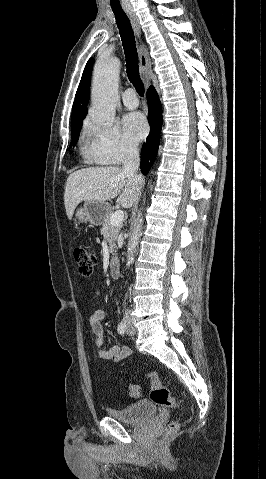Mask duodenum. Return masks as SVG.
<instances>
[{
    "mask_svg": "<svg viewBox=\"0 0 266 479\" xmlns=\"http://www.w3.org/2000/svg\"><path fill=\"white\" fill-rule=\"evenodd\" d=\"M110 274L113 278H119L120 276V260L117 257L111 259Z\"/></svg>",
    "mask_w": 266,
    "mask_h": 479,
    "instance_id": "410a0bca",
    "label": "duodenum"
}]
</instances>
